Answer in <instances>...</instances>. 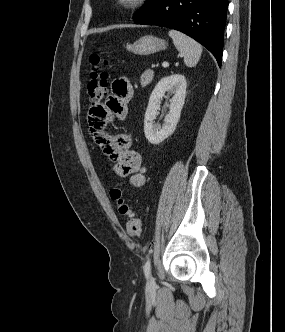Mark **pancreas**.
Masks as SVG:
<instances>
[{
	"label": "pancreas",
	"mask_w": 285,
	"mask_h": 332,
	"mask_svg": "<svg viewBox=\"0 0 285 332\" xmlns=\"http://www.w3.org/2000/svg\"><path fill=\"white\" fill-rule=\"evenodd\" d=\"M153 79V71L148 69L140 77V83L142 86L148 85Z\"/></svg>",
	"instance_id": "1"
}]
</instances>
